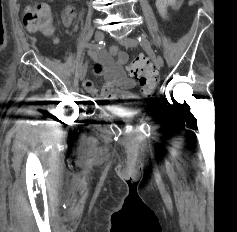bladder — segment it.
<instances>
[{"mask_svg": "<svg viewBox=\"0 0 237 232\" xmlns=\"http://www.w3.org/2000/svg\"><path fill=\"white\" fill-rule=\"evenodd\" d=\"M103 106L112 116L130 117L142 109L143 102L140 100L106 101Z\"/></svg>", "mask_w": 237, "mask_h": 232, "instance_id": "bladder-1", "label": "bladder"}]
</instances>
